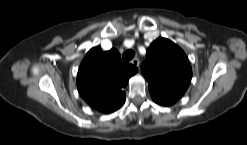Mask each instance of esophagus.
I'll use <instances>...</instances> for the list:
<instances>
[{"label": "esophagus", "instance_id": "obj_1", "mask_svg": "<svg viewBox=\"0 0 247 145\" xmlns=\"http://www.w3.org/2000/svg\"><path fill=\"white\" fill-rule=\"evenodd\" d=\"M131 63H132L134 66L138 67V66H139V59H138V58H134V59L131 61Z\"/></svg>", "mask_w": 247, "mask_h": 145}]
</instances>
